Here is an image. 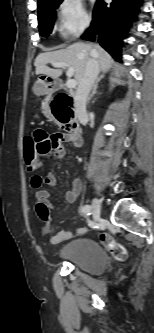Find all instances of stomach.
Returning a JSON list of instances; mask_svg holds the SVG:
<instances>
[{"label": "stomach", "mask_w": 154, "mask_h": 333, "mask_svg": "<svg viewBox=\"0 0 154 333\" xmlns=\"http://www.w3.org/2000/svg\"><path fill=\"white\" fill-rule=\"evenodd\" d=\"M49 90V85L43 81V80H37L33 86V92L37 95V96H41L44 95L48 92Z\"/></svg>", "instance_id": "stomach-1"}]
</instances>
